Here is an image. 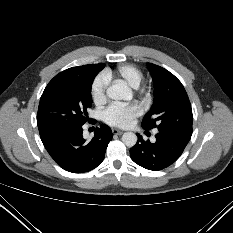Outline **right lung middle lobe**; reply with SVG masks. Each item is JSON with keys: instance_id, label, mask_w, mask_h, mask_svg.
<instances>
[{"instance_id": "obj_1", "label": "right lung middle lobe", "mask_w": 233, "mask_h": 233, "mask_svg": "<svg viewBox=\"0 0 233 233\" xmlns=\"http://www.w3.org/2000/svg\"><path fill=\"white\" fill-rule=\"evenodd\" d=\"M105 64H90L59 73L46 86L38 107L39 133L82 126L91 107V86Z\"/></svg>"}]
</instances>
